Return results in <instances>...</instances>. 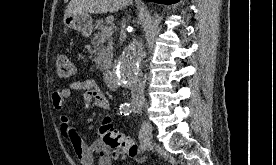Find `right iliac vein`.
<instances>
[{
    "label": "right iliac vein",
    "mask_w": 276,
    "mask_h": 165,
    "mask_svg": "<svg viewBox=\"0 0 276 165\" xmlns=\"http://www.w3.org/2000/svg\"><path fill=\"white\" fill-rule=\"evenodd\" d=\"M135 107L141 109L142 107H144V102H137L135 104ZM145 127H146L147 140H148L147 147H149L151 143L150 141L152 139V127L149 122H145Z\"/></svg>",
    "instance_id": "63e3f726"
}]
</instances>
